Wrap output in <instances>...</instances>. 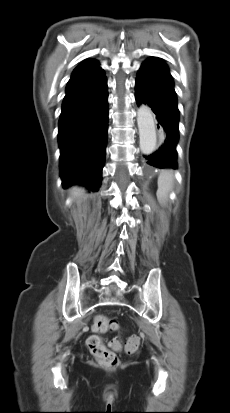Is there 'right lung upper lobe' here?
<instances>
[{
  "label": "right lung upper lobe",
  "mask_w": 230,
  "mask_h": 413,
  "mask_svg": "<svg viewBox=\"0 0 230 413\" xmlns=\"http://www.w3.org/2000/svg\"><path fill=\"white\" fill-rule=\"evenodd\" d=\"M99 67V62L95 59H87L84 60L81 64H79L75 70L73 71L71 77L80 75L84 72L93 70L95 68Z\"/></svg>",
  "instance_id": "1"
}]
</instances>
